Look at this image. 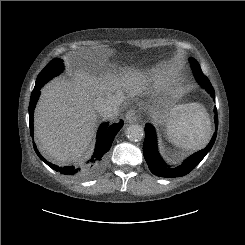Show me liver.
Masks as SVG:
<instances>
[{"mask_svg":"<svg viewBox=\"0 0 245 245\" xmlns=\"http://www.w3.org/2000/svg\"><path fill=\"white\" fill-rule=\"evenodd\" d=\"M174 90L160 73L147 75L136 70L119 74L76 70L71 79L62 78L46 86L34 114L35 138L43 154L57 162L77 161L86 151L97 122L95 103L115 97L120 103L127 96L156 97Z\"/></svg>","mask_w":245,"mask_h":245,"instance_id":"liver-1","label":"liver"}]
</instances>
